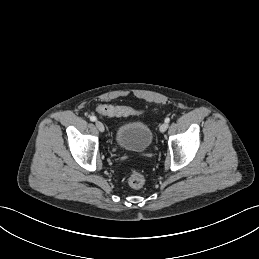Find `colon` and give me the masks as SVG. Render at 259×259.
Segmentation results:
<instances>
[{"mask_svg":"<svg viewBox=\"0 0 259 259\" xmlns=\"http://www.w3.org/2000/svg\"><path fill=\"white\" fill-rule=\"evenodd\" d=\"M98 113L102 116H130L142 113V110L129 106L101 105ZM128 184L131 188L139 189L146 183V177L139 171H133L128 176Z\"/></svg>","mask_w":259,"mask_h":259,"instance_id":"1","label":"colon"}]
</instances>
